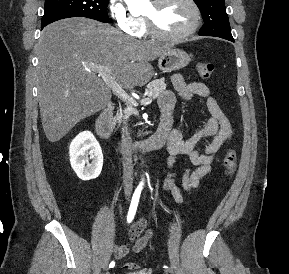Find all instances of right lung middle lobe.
Instances as JSON below:
<instances>
[{"label":"right lung middle lobe","mask_w":289,"mask_h":274,"mask_svg":"<svg viewBox=\"0 0 289 274\" xmlns=\"http://www.w3.org/2000/svg\"><path fill=\"white\" fill-rule=\"evenodd\" d=\"M108 0H45L41 26L69 17H87L108 22Z\"/></svg>","instance_id":"right-lung-middle-lobe-1"}]
</instances>
